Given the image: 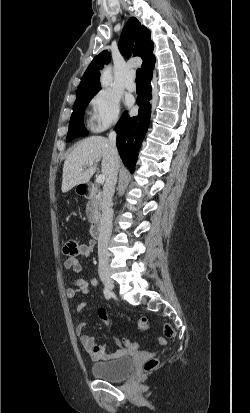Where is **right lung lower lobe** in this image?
<instances>
[{"instance_id": "right-lung-lower-lobe-1", "label": "right lung lower lobe", "mask_w": 250, "mask_h": 413, "mask_svg": "<svg viewBox=\"0 0 250 413\" xmlns=\"http://www.w3.org/2000/svg\"><path fill=\"white\" fill-rule=\"evenodd\" d=\"M152 70L143 74V91L137 98L139 114L129 117L123 113L115 130L117 132V148L124 165L133 173L138 151L150 123V105L147 101L151 92Z\"/></svg>"}]
</instances>
